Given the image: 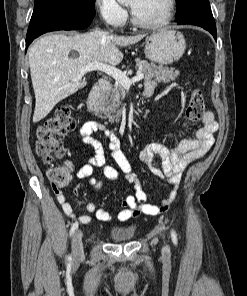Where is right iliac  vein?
Returning <instances> with one entry per match:
<instances>
[{
	"label": "right iliac vein",
	"instance_id": "obj_1",
	"mask_svg": "<svg viewBox=\"0 0 247 296\" xmlns=\"http://www.w3.org/2000/svg\"><path fill=\"white\" fill-rule=\"evenodd\" d=\"M82 232L76 230L72 237V254L74 259H80L83 257V243H82Z\"/></svg>",
	"mask_w": 247,
	"mask_h": 296
}]
</instances>
